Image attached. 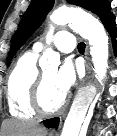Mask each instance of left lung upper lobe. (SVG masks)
Instances as JSON below:
<instances>
[{"label": "left lung upper lobe", "mask_w": 117, "mask_h": 136, "mask_svg": "<svg viewBox=\"0 0 117 136\" xmlns=\"http://www.w3.org/2000/svg\"><path fill=\"white\" fill-rule=\"evenodd\" d=\"M68 3L80 6L84 9L97 14L102 23L111 15L110 3L108 0H67ZM54 0H34L24 13L17 31L15 32L10 51L8 54V65L17 50L25 43V41L34 33V31L44 21L47 13L52 9Z\"/></svg>", "instance_id": "1"}]
</instances>
